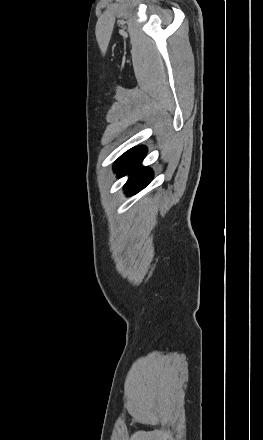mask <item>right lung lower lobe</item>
Returning a JSON list of instances; mask_svg holds the SVG:
<instances>
[{"instance_id":"1","label":"right lung lower lobe","mask_w":263,"mask_h":440,"mask_svg":"<svg viewBox=\"0 0 263 440\" xmlns=\"http://www.w3.org/2000/svg\"><path fill=\"white\" fill-rule=\"evenodd\" d=\"M146 155V148L139 146L131 152L124 163L116 170L118 176L129 175V179L124 186V190L128 195L136 194L145 188L153 178L152 171L141 165Z\"/></svg>"}]
</instances>
